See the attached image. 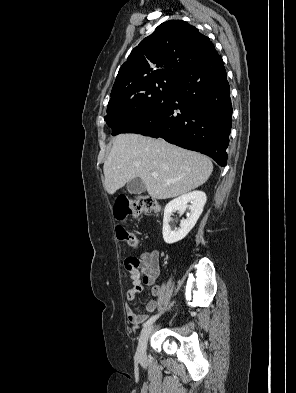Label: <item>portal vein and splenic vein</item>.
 I'll list each match as a JSON object with an SVG mask.
<instances>
[{
    "label": "portal vein and splenic vein",
    "mask_w": 296,
    "mask_h": 393,
    "mask_svg": "<svg viewBox=\"0 0 296 393\" xmlns=\"http://www.w3.org/2000/svg\"><path fill=\"white\" fill-rule=\"evenodd\" d=\"M151 175H152V177H154V178H157V177H158V174L155 173V172H152Z\"/></svg>",
    "instance_id": "18ae733b"
}]
</instances>
